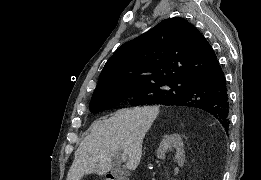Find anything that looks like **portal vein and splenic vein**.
Segmentation results:
<instances>
[{
	"mask_svg": "<svg viewBox=\"0 0 261 180\" xmlns=\"http://www.w3.org/2000/svg\"><path fill=\"white\" fill-rule=\"evenodd\" d=\"M120 158H121L122 162H127L128 156H127V154H125V152H123V154H121Z\"/></svg>",
	"mask_w": 261,
	"mask_h": 180,
	"instance_id": "obj_1",
	"label": "portal vein and splenic vein"
}]
</instances>
